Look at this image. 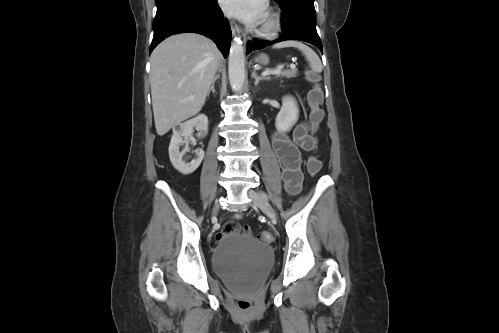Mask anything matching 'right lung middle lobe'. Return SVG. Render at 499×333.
<instances>
[{
  "mask_svg": "<svg viewBox=\"0 0 499 333\" xmlns=\"http://www.w3.org/2000/svg\"><path fill=\"white\" fill-rule=\"evenodd\" d=\"M164 0H156V4L159 5L161 4V2H163ZM190 1H195V2H198V1H202V0H190Z\"/></svg>",
  "mask_w": 499,
  "mask_h": 333,
  "instance_id": "1",
  "label": "right lung middle lobe"
}]
</instances>
